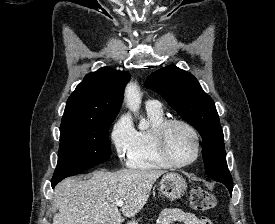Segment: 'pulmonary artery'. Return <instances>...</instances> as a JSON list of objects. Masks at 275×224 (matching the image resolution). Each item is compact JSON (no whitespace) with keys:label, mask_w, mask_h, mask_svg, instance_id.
I'll use <instances>...</instances> for the list:
<instances>
[{"label":"pulmonary artery","mask_w":275,"mask_h":224,"mask_svg":"<svg viewBox=\"0 0 275 224\" xmlns=\"http://www.w3.org/2000/svg\"><path fill=\"white\" fill-rule=\"evenodd\" d=\"M146 108L159 110V109H161V103L157 100H154V99L148 100L146 102Z\"/></svg>","instance_id":"obj_1"}]
</instances>
